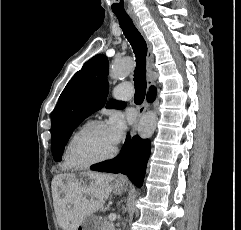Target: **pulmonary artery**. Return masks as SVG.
<instances>
[{"label":"pulmonary artery","instance_id":"obj_1","mask_svg":"<svg viewBox=\"0 0 241 230\" xmlns=\"http://www.w3.org/2000/svg\"><path fill=\"white\" fill-rule=\"evenodd\" d=\"M133 94V88L130 83H123L117 85L113 90V95L116 99L127 100Z\"/></svg>","mask_w":241,"mask_h":230}]
</instances>
